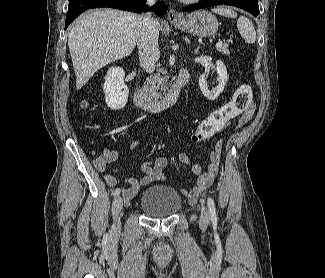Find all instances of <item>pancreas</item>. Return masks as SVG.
<instances>
[{
	"mask_svg": "<svg viewBox=\"0 0 325 278\" xmlns=\"http://www.w3.org/2000/svg\"><path fill=\"white\" fill-rule=\"evenodd\" d=\"M218 52L224 54V55H230L228 45L224 44L220 47H217ZM161 74L165 73L164 69H160L159 73L151 76L150 79H148L144 86V92L152 98H159L161 97V93L159 91L166 90L167 88V79L164 76H161Z\"/></svg>",
	"mask_w": 325,
	"mask_h": 278,
	"instance_id": "cf45deb5",
	"label": "pancreas"
}]
</instances>
